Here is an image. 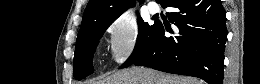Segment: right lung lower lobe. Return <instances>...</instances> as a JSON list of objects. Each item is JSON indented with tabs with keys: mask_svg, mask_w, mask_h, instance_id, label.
I'll use <instances>...</instances> for the list:
<instances>
[{
	"mask_svg": "<svg viewBox=\"0 0 260 84\" xmlns=\"http://www.w3.org/2000/svg\"><path fill=\"white\" fill-rule=\"evenodd\" d=\"M164 8L179 32L165 37L158 24L148 50L134 64L223 84L226 13L220 0H166Z\"/></svg>",
	"mask_w": 260,
	"mask_h": 84,
	"instance_id": "1",
	"label": "right lung lower lobe"
}]
</instances>
